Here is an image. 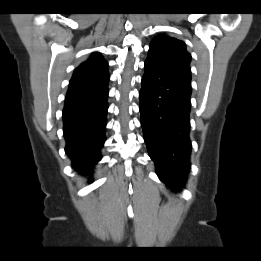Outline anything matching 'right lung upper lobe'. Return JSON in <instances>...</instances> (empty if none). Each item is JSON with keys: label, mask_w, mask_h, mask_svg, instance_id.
<instances>
[{"label": "right lung upper lobe", "mask_w": 261, "mask_h": 261, "mask_svg": "<svg viewBox=\"0 0 261 261\" xmlns=\"http://www.w3.org/2000/svg\"><path fill=\"white\" fill-rule=\"evenodd\" d=\"M107 66V62L99 53H93L87 61L75 69L67 93L86 91L107 84L109 80Z\"/></svg>", "instance_id": "1"}]
</instances>
